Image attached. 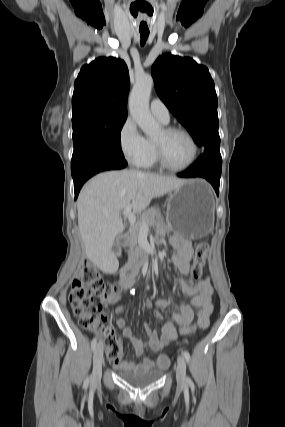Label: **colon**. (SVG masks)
Masks as SVG:
<instances>
[{
	"mask_svg": "<svg viewBox=\"0 0 285 427\" xmlns=\"http://www.w3.org/2000/svg\"><path fill=\"white\" fill-rule=\"evenodd\" d=\"M208 253L209 246L207 243L200 242L196 245L195 257L190 270L193 281L200 279ZM119 289L120 285L105 282L94 265L84 262L72 283L69 294V302L79 325L83 329L96 332L103 337L109 360H117L120 357L121 340L110 328L101 323L94 301L105 299ZM195 329V325H187L181 331L188 333Z\"/></svg>",
	"mask_w": 285,
	"mask_h": 427,
	"instance_id": "5ec220e1",
	"label": "colon"
}]
</instances>
